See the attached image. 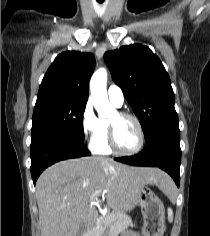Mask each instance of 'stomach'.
Instances as JSON below:
<instances>
[{"label":"stomach","instance_id":"1","mask_svg":"<svg viewBox=\"0 0 210 236\" xmlns=\"http://www.w3.org/2000/svg\"><path fill=\"white\" fill-rule=\"evenodd\" d=\"M137 204L143 215L142 236H163L165 231V211L161 200L144 185L137 195Z\"/></svg>","mask_w":210,"mask_h":236}]
</instances>
